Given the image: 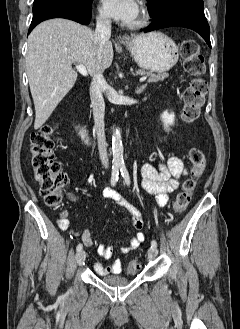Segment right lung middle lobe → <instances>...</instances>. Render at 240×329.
<instances>
[{
  "mask_svg": "<svg viewBox=\"0 0 240 329\" xmlns=\"http://www.w3.org/2000/svg\"><path fill=\"white\" fill-rule=\"evenodd\" d=\"M41 4L63 5L66 7L89 10L91 9L92 0H35L33 6Z\"/></svg>",
  "mask_w": 240,
  "mask_h": 329,
  "instance_id": "1",
  "label": "right lung middle lobe"
}]
</instances>
